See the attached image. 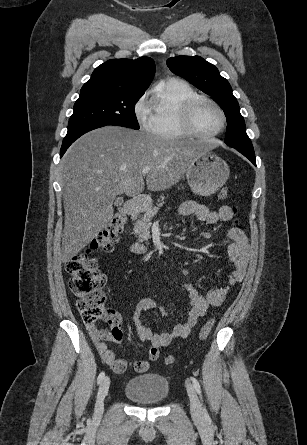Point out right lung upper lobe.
Returning a JSON list of instances; mask_svg holds the SVG:
<instances>
[{
  "instance_id": "1",
  "label": "right lung upper lobe",
  "mask_w": 307,
  "mask_h": 445,
  "mask_svg": "<svg viewBox=\"0 0 307 445\" xmlns=\"http://www.w3.org/2000/svg\"><path fill=\"white\" fill-rule=\"evenodd\" d=\"M154 74L155 64L149 57L108 60L94 70L81 88L80 96L102 94L141 97Z\"/></svg>"
}]
</instances>
